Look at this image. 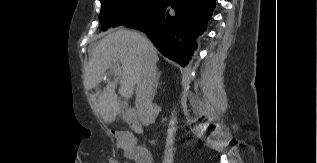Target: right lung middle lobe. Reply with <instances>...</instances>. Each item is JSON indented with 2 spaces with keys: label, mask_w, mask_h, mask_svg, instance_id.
<instances>
[{
  "label": "right lung middle lobe",
  "mask_w": 317,
  "mask_h": 163,
  "mask_svg": "<svg viewBox=\"0 0 317 163\" xmlns=\"http://www.w3.org/2000/svg\"><path fill=\"white\" fill-rule=\"evenodd\" d=\"M163 0H100L103 30L127 25L149 15Z\"/></svg>",
  "instance_id": "right-lung-middle-lobe-1"
}]
</instances>
